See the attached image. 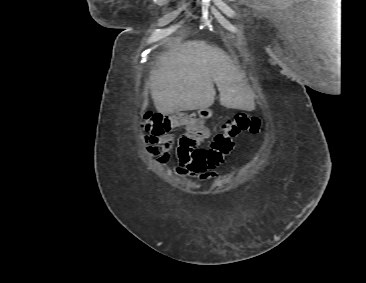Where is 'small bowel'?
<instances>
[{
    "instance_id": "1",
    "label": "small bowel",
    "mask_w": 366,
    "mask_h": 283,
    "mask_svg": "<svg viewBox=\"0 0 366 283\" xmlns=\"http://www.w3.org/2000/svg\"><path fill=\"white\" fill-rule=\"evenodd\" d=\"M144 143L147 145L145 149V153L148 156L157 157V162L159 164H166L170 159V150L173 147L174 137L171 134H163V135H145L143 137ZM220 152L218 157H221V161L213 168L202 171V172H193L189 169L178 166L175 168L174 172L178 176L193 178L200 181H206L210 179H215L219 177V173L216 171L220 165H222L226 159V157L232 152H227L225 155Z\"/></svg>"
}]
</instances>
